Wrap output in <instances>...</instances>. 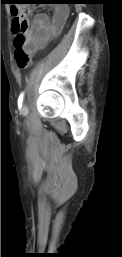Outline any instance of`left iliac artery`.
<instances>
[{
    "label": "left iliac artery",
    "mask_w": 122,
    "mask_h": 257,
    "mask_svg": "<svg viewBox=\"0 0 122 257\" xmlns=\"http://www.w3.org/2000/svg\"><path fill=\"white\" fill-rule=\"evenodd\" d=\"M23 99H24V92H22L19 97H18V106L22 107V103H23Z\"/></svg>",
    "instance_id": "44dca946"
}]
</instances>
